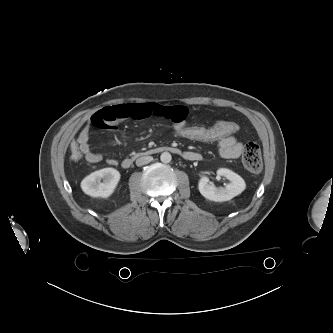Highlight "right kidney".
<instances>
[{
    "mask_svg": "<svg viewBox=\"0 0 333 333\" xmlns=\"http://www.w3.org/2000/svg\"><path fill=\"white\" fill-rule=\"evenodd\" d=\"M120 180L118 170L108 167L97 170L81 181L83 192L92 197H109Z\"/></svg>",
    "mask_w": 333,
    "mask_h": 333,
    "instance_id": "1",
    "label": "right kidney"
}]
</instances>
